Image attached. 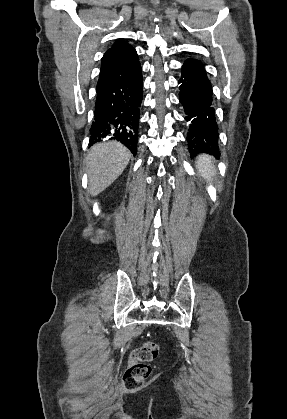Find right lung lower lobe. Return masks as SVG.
<instances>
[{
	"label": "right lung lower lobe",
	"instance_id": "1",
	"mask_svg": "<svg viewBox=\"0 0 287 419\" xmlns=\"http://www.w3.org/2000/svg\"><path fill=\"white\" fill-rule=\"evenodd\" d=\"M142 88L140 65L130 74L97 87L89 145L102 139L116 140L136 155Z\"/></svg>",
	"mask_w": 287,
	"mask_h": 419
}]
</instances>
